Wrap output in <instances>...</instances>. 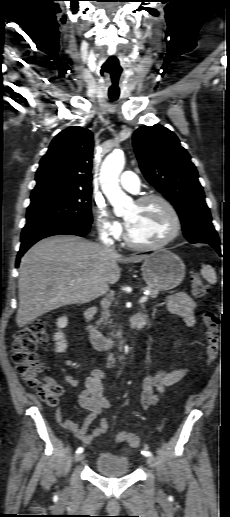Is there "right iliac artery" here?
I'll use <instances>...</instances> for the list:
<instances>
[{
	"label": "right iliac artery",
	"mask_w": 230,
	"mask_h": 517,
	"mask_svg": "<svg viewBox=\"0 0 230 517\" xmlns=\"http://www.w3.org/2000/svg\"><path fill=\"white\" fill-rule=\"evenodd\" d=\"M83 452V448L82 447H79L76 451V453H82Z\"/></svg>",
	"instance_id": "obj_1"
}]
</instances>
